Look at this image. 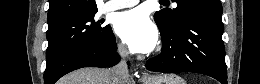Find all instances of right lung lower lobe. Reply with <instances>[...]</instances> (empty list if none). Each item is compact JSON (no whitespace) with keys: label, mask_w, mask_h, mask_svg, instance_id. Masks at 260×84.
Returning a JSON list of instances; mask_svg holds the SVG:
<instances>
[{"label":"right lung lower lobe","mask_w":260,"mask_h":84,"mask_svg":"<svg viewBox=\"0 0 260 84\" xmlns=\"http://www.w3.org/2000/svg\"><path fill=\"white\" fill-rule=\"evenodd\" d=\"M115 36L108 47L82 46L64 54L51 67L46 68L44 84H54L63 75L83 67H111L118 63L119 56Z\"/></svg>","instance_id":"obj_1"}]
</instances>
